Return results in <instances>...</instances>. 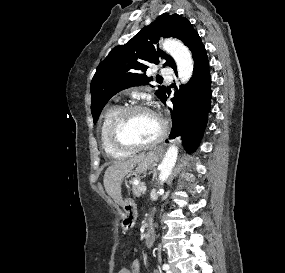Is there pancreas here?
<instances>
[{
	"label": "pancreas",
	"mask_w": 285,
	"mask_h": 273,
	"mask_svg": "<svg viewBox=\"0 0 285 273\" xmlns=\"http://www.w3.org/2000/svg\"><path fill=\"white\" fill-rule=\"evenodd\" d=\"M141 186H142L141 184L133 185V186H132L133 194H134L136 197H140L141 194H142V191L140 190V187H141Z\"/></svg>",
	"instance_id": "obj_1"
}]
</instances>
